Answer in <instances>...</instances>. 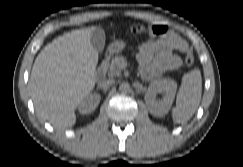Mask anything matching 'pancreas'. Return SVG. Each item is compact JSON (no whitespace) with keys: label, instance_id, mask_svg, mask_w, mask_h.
Segmentation results:
<instances>
[{"label":"pancreas","instance_id":"pancreas-1","mask_svg":"<svg viewBox=\"0 0 243 167\" xmlns=\"http://www.w3.org/2000/svg\"><path fill=\"white\" fill-rule=\"evenodd\" d=\"M126 63V59L123 56H116L112 59L111 63H105V69L107 70L108 76L113 78L121 75L123 65Z\"/></svg>","mask_w":243,"mask_h":167}]
</instances>
